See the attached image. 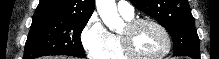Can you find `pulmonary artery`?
I'll return each instance as SVG.
<instances>
[{
    "mask_svg": "<svg viewBox=\"0 0 219 59\" xmlns=\"http://www.w3.org/2000/svg\"><path fill=\"white\" fill-rule=\"evenodd\" d=\"M117 10L123 17L131 18L134 16V7L129 2L119 1Z\"/></svg>",
    "mask_w": 219,
    "mask_h": 59,
    "instance_id": "pulmonary-artery-1",
    "label": "pulmonary artery"
}]
</instances>
